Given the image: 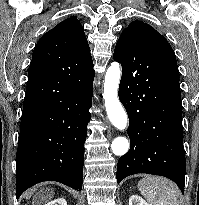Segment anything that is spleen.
<instances>
[{"mask_svg": "<svg viewBox=\"0 0 199 205\" xmlns=\"http://www.w3.org/2000/svg\"><path fill=\"white\" fill-rule=\"evenodd\" d=\"M138 188L149 205H179L176 186L165 178L146 176L138 182Z\"/></svg>", "mask_w": 199, "mask_h": 205, "instance_id": "obj_1", "label": "spleen"}]
</instances>
